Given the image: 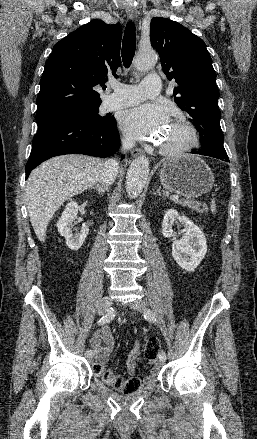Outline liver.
<instances>
[{
	"label": "liver",
	"instance_id": "6515ba94",
	"mask_svg": "<svg viewBox=\"0 0 257 439\" xmlns=\"http://www.w3.org/2000/svg\"><path fill=\"white\" fill-rule=\"evenodd\" d=\"M106 162L71 154L51 158L32 171L27 181L26 200L32 227L44 242L49 221L68 199L93 187Z\"/></svg>",
	"mask_w": 257,
	"mask_h": 439
}]
</instances>
